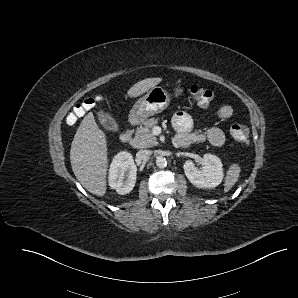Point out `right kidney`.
<instances>
[{
	"instance_id": "1",
	"label": "right kidney",
	"mask_w": 298,
	"mask_h": 298,
	"mask_svg": "<svg viewBox=\"0 0 298 298\" xmlns=\"http://www.w3.org/2000/svg\"><path fill=\"white\" fill-rule=\"evenodd\" d=\"M136 176L137 166L132 154L127 151L117 153L109 168V186L118 194L125 195L133 190Z\"/></svg>"
}]
</instances>
